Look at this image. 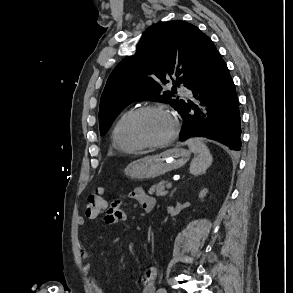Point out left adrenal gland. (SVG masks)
Masks as SVG:
<instances>
[{
	"instance_id": "left-adrenal-gland-1",
	"label": "left adrenal gland",
	"mask_w": 293,
	"mask_h": 293,
	"mask_svg": "<svg viewBox=\"0 0 293 293\" xmlns=\"http://www.w3.org/2000/svg\"><path fill=\"white\" fill-rule=\"evenodd\" d=\"M175 191H176V189H174V190L171 192L170 197L173 196V194H174Z\"/></svg>"
}]
</instances>
